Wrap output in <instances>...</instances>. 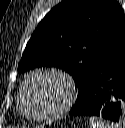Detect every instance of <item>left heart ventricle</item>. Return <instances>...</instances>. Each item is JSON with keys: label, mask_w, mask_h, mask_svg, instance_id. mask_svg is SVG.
<instances>
[{"label": "left heart ventricle", "mask_w": 125, "mask_h": 128, "mask_svg": "<svg viewBox=\"0 0 125 128\" xmlns=\"http://www.w3.org/2000/svg\"><path fill=\"white\" fill-rule=\"evenodd\" d=\"M67 96V86L50 74L35 76L25 89V109L31 114L50 113L60 107Z\"/></svg>", "instance_id": "left-heart-ventricle-1"}]
</instances>
